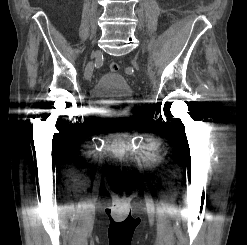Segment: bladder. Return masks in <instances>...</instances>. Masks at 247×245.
Wrapping results in <instances>:
<instances>
[{
	"label": "bladder",
	"mask_w": 247,
	"mask_h": 245,
	"mask_svg": "<svg viewBox=\"0 0 247 245\" xmlns=\"http://www.w3.org/2000/svg\"><path fill=\"white\" fill-rule=\"evenodd\" d=\"M132 96L133 91L126 79L116 72L101 75L91 90V98L97 105L122 101Z\"/></svg>",
	"instance_id": "bladder-1"
}]
</instances>
